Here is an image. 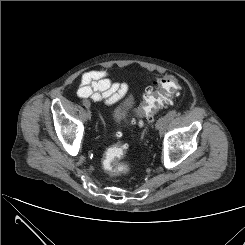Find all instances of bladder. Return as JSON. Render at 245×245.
I'll return each instance as SVG.
<instances>
[{"label": "bladder", "instance_id": "obj_1", "mask_svg": "<svg viewBox=\"0 0 245 245\" xmlns=\"http://www.w3.org/2000/svg\"><path fill=\"white\" fill-rule=\"evenodd\" d=\"M134 106V98L131 94H125L115 104L112 110V120L116 124L124 122Z\"/></svg>", "mask_w": 245, "mask_h": 245}]
</instances>
